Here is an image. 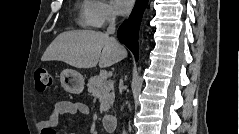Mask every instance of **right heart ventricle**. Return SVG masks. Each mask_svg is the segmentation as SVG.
Listing matches in <instances>:
<instances>
[{"instance_id":"e07e8e85","label":"right heart ventricle","mask_w":239,"mask_h":134,"mask_svg":"<svg viewBox=\"0 0 239 134\" xmlns=\"http://www.w3.org/2000/svg\"><path fill=\"white\" fill-rule=\"evenodd\" d=\"M88 1H83L79 7V23L82 26H89L90 23L87 18Z\"/></svg>"}]
</instances>
